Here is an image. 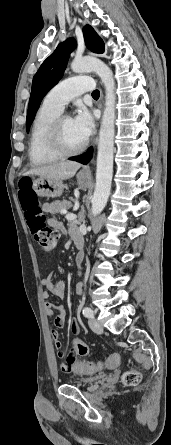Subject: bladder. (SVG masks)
Masks as SVG:
<instances>
[{
  "label": "bladder",
  "mask_w": 171,
  "mask_h": 445,
  "mask_svg": "<svg viewBox=\"0 0 171 445\" xmlns=\"http://www.w3.org/2000/svg\"><path fill=\"white\" fill-rule=\"evenodd\" d=\"M104 377V374H98L93 376L73 377L71 380L78 385L86 386L98 382L104 379Z\"/></svg>",
  "instance_id": "bladder-1"
}]
</instances>
